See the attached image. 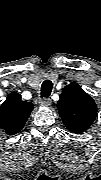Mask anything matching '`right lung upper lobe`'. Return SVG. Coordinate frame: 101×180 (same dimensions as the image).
Listing matches in <instances>:
<instances>
[{
	"label": "right lung upper lobe",
	"instance_id": "cb5924a9",
	"mask_svg": "<svg viewBox=\"0 0 101 180\" xmlns=\"http://www.w3.org/2000/svg\"><path fill=\"white\" fill-rule=\"evenodd\" d=\"M33 104L22 101L21 95L11 92L0 107V126L8 135H15L24 127Z\"/></svg>",
	"mask_w": 101,
	"mask_h": 180
}]
</instances>
